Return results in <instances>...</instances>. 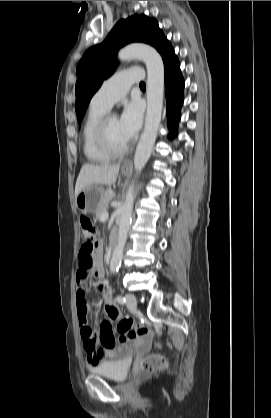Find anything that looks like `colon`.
I'll list each match as a JSON object with an SVG mask.
<instances>
[{"label": "colon", "instance_id": "obj_1", "mask_svg": "<svg viewBox=\"0 0 271 418\" xmlns=\"http://www.w3.org/2000/svg\"><path fill=\"white\" fill-rule=\"evenodd\" d=\"M79 226L81 231L82 246H86V243H95L97 232L92 221L82 216L79 220ZM134 322L132 319H124L118 323V331L123 334L121 341L127 342L135 337H146L149 334V329L143 325H136L135 330H132ZM166 365L164 357L161 355H151L145 359L142 363L143 368L147 369H159Z\"/></svg>", "mask_w": 271, "mask_h": 418}]
</instances>
